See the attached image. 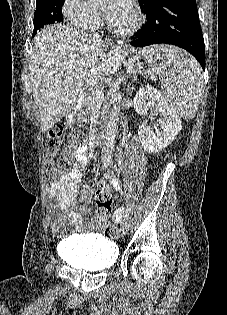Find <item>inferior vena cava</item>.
Returning a JSON list of instances; mask_svg holds the SVG:
<instances>
[{"mask_svg": "<svg viewBox=\"0 0 227 315\" xmlns=\"http://www.w3.org/2000/svg\"><path fill=\"white\" fill-rule=\"evenodd\" d=\"M94 35H97V34H94ZM98 36V35H97ZM102 163H103V166L106 167L109 165L110 161L109 160H106V159H102Z\"/></svg>", "mask_w": 227, "mask_h": 315, "instance_id": "1", "label": "inferior vena cava"}]
</instances>
